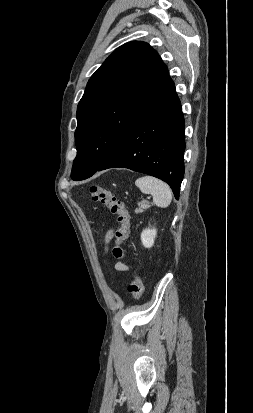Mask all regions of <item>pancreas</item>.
Here are the masks:
<instances>
[{
    "mask_svg": "<svg viewBox=\"0 0 253 413\" xmlns=\"http://www.w3.org/2000/svg\"><path fill=\"white\" fill-rule=\"evenodd\" d=\"M139 208L136 209V213H142L146 208L149 207V203L146 200H143L138 203Z\"/></svg>",
    "mask_w": 253,
    "mask_h": 413,
    "instance_id": "1",
    "label": "pancreas"
}]
</instances>
